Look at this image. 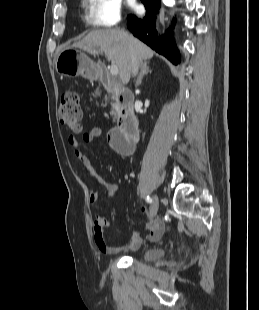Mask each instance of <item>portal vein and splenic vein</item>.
Returning a JSON list of instances; mask_svg holds the SVG:
<instances>
[{"instance_id":"obj_1","label":"portal vein and splenic vein","mask_w":259,"mask_h":310,"mask_svg":"<svg viewBox=\"0 0 259 310\" xmlns=\"http://www.w3.org/2000/svg\"><path fill=\"white\" fill-rule=\"evenodd\" d=\"M109 69H110L111 75H113V76H117L118 75L119 70H118V67H117V65L115 63H112L111 66L109 67Z\"/></svg>"}]
</instances>
